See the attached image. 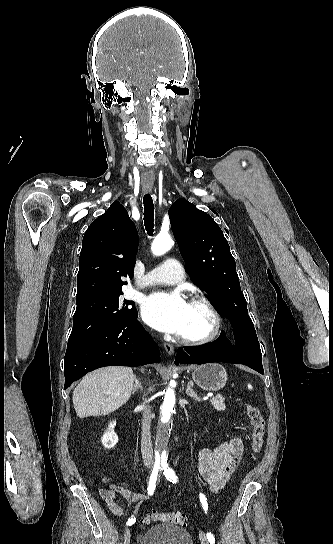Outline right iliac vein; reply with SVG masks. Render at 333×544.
I'll list each match as a JSON object with an SVG mask.
<instances>
[{
  "label": "right iliac vein",
  "mask_w": 333,
  "mask_h": 544,
  "mask_svg": "<svg viewBox=\"0 0 333 544\" xmlns=\"http://www.w3.org/2000/svg\"><path fill=\"white\" fill-rule=\"evenodd\" d=\"M130 538H131L130 529L127 528L124 533V544H130Z\"/></svg>",
  "instance_id": "1"
}]
</instances>
